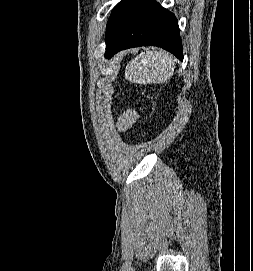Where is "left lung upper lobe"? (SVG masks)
I'll use <instances>...</instances> for the list:
<instances>
[{
	"instance_id": "5c2ea615",
	"label": "left lung upper lobe",
	"mask_w": 253,
	"mask_h": 271,
	"mask_svg": "<svg viewBox=\"0 0 253 271\" xmlns=\"http://www.w3.org/2000/svg\"><path fill=\"white\" fill-rule=\"evenodd\" d=\"M128 2H129V0H124V1L120 2L118 5H116L114 10L112 11L111 16L109 17V20L107 22L105 42L110 38V36L114 32V30L119 22V19L121 18Z\"/></svg>"
}]
</instances>
